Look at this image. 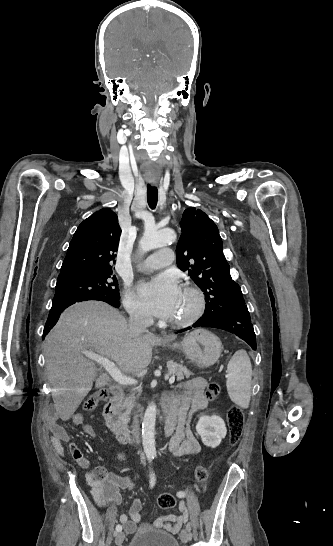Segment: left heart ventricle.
I'll return each instance as SVG.
<instances>
[{
    "label": "left heart ventricle",
    "mask_w": 333,
    "mask_h": 546,
    "mask_svg": "<svg viewBox=\"0 0 333 546\" xmlns=\"http://www.w3.org/2000/svg\"><path fill=\"white\" fill-rule=\"evenodd\" d=\"M193 307L194 300L192 296L182 290L170 318L172 320L183 319L191 313Z\"/></svg>",
    "instance_id": "obj_1"
}]
</instances>
